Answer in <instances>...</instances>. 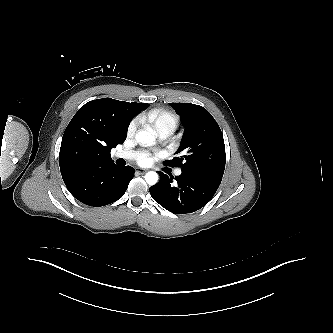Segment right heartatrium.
Segmentation results:
<instances>
[{
  "instance_id": "d8ad5b80",
  "label": "right heart atrium",
  "mask_w": 333,
  "mask_h": 333,
  "mask_svg": "<svg viewBox=\"0 0 333 333\" xmlns=\"http://www.w3.org/2000/svg\"><path fill=\"white\" fill-rule=\"evenodd\" d=\"M139 125V119L138 118H135L133 119L129 125H128V129H127V134L128 136H133L137 127Z\"/></svg>"
}]
</instances>
